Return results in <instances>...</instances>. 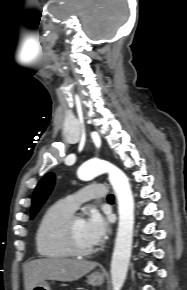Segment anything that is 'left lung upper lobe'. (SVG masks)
I'll return each instance as SVG.
<instances>
[{"mask_svg": "<svg viewBox=\"0 0 187 290\" xmlns=\"http://www.w3.org/2000/svg\"><path fill=\"white\" fill-rule=\"evenodd\" d=\"M55 182L53 173L46 174L38 183L32 201L31 218H33L51 193Z\"/></svg>", "mask_w": 187, "mask_h": 290, "instance_id": "1", "label": "left lung upper lobe"}]
</instances>
